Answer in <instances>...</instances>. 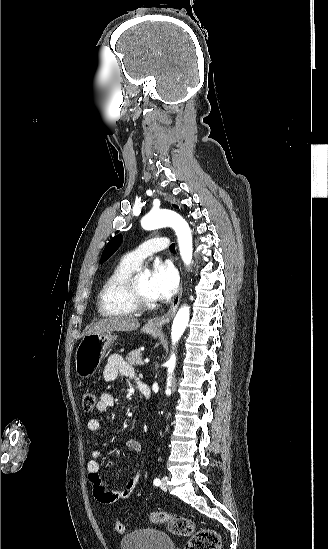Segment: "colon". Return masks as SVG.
<instances>
[{"label":"colon","mask_w":328,"mask_h":549,"mask_svg":"<svg viewBox=\"0 0 328 549\" xmlns=\"http://www.w3.org/2000/svg\"><path fill=\"white\" fill-rule=\"evenodd\" d=\"M96 404L95 395L86 391L82 395V408L84 411H91ZM151 521L156 524H166L169 531L179 537L190 536L185 545V549H219L220 537L218 533L211 529H203L194 532V522L181 515H174L165 511H155L151 514ZM113 529L116 533L121 534L124 531L123 524L120 521H115Z\"/></svg>","instance_id":"1"}]
</instances>
